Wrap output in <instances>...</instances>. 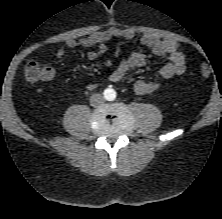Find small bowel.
<instances>
[{"instance_id": "obj_1", "label": "small bowel", "mask_w": 222, "mask_h": 219, "mask_svg": "<svg viewBox=\"0 0 222 219\" xmlns=\"http://www.w3.org/2000/svg\"><path fill=\"white\" fill-rule=\"evenodd\" d=\"M137 36L135 30L131 28H108L97 31L88 37L80 39H69L66 42L67 49L77 47H94L95 49L87 53V59L96 60L106 49V44L113 39L134 40ZM143 45L151 49L153 54L160 57H167L168 61L160 68L159 78L155 81L137 80L134 84V90L139 95L149 94L157 91L162 86V81L170 79L176 75L183 74L186 70V57L181 51L180 45L173 40L161 39L158 36L145 33L141 36ZM65 55V49L61 48L56 52V56L61 58ZM146 62V57L141 52H133L129 57L124 59L119 66L109 75V80L114 83L123 81L125 76L142 67ZM48 76L45 81L51 80L55 71L52 67H47ZM89 90L96 88V84L90 82L87 84Z\"/></svg>"}]
</instances>
